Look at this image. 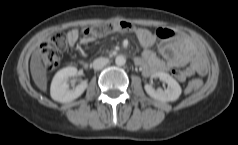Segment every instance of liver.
<instances>
[{"instance_id": "6515ba94", "label": "liver", "mask_w": 238, "mask_h": 145, "mask_svg": "<svg viewBox=\"0 0 238 145\" xmlns=\"http://www.w3.org/2000/svg\"><path fill=\"white\" fill-rule=\"evenodd\" d=\"M31 76L36 86L43 92L47 90V71L41 61L40 49L34 50L30 60Z\"/></svg>"}]
</instances>
